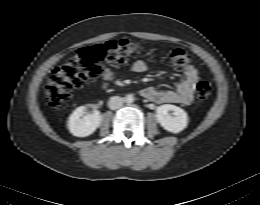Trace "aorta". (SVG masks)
<instances>
[{
  "label": "aorta",
  "mask_w": 260,
  "mask_h": 205,
  "mask_svg": "<svg viewBox=\"0 0 260 205\" xmlns=\"http://www.w3.org/2000/svg\"><path fill=\"white\" fill-rule=\"evenodd\" d=\"M124 101L128 104H131L134 102V97L132 94H128L125 98H124Z\"/></svg>",
  "instance_id": "aorta-1"
}]
</instances>
